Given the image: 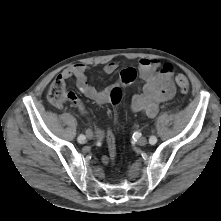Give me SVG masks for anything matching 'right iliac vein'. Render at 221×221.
<instances>
[{
    "mask_svg": "<svg viewBox=\"0 0 221 221\" xmlns=\"http://www.w3.org/2000/svg\"><path fill=\"white\" fill-rule=\"evenodd\" d=\"M86 137H87L88 139H93V138H94L93 132H92L91 130H87V131H86Z\"/></svg>",
    "mask_w": 221,
    "mask_h": 221,
    "instance_id": "1",
    "label": "right iliac vein"
}]
</instances>
